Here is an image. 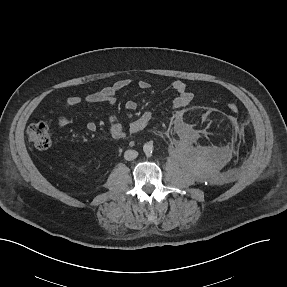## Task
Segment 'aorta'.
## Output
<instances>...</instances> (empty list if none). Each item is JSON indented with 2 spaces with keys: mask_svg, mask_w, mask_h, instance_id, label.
Listing matches in <instances>:
<instances>
[{
  "mask_svg": "<svg viewBox=\"0 0 287 287\" xmlns=\"http://www.w3.org/2000/svg\"><path fill=\"white\" fill-rule=\"evenodd\" d=\"M143 151L146 155H151L153 152V144L151 142H147L143 145Z\"/></svg>",
  "mask_w": 287,
  "mask_h": 287,
  "instance_id": "762f6f07",
  "label": "aorta"
}]
</instances>
